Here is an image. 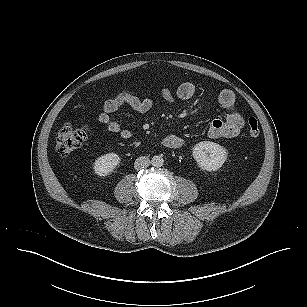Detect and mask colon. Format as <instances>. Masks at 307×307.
<instances>
[{"mask_svg": "<svg viewBox=\"0 0 307 307\" xmlns=\"http://www.w3.org/2000/svg\"><path fill=\"white\" fill-rule=\"evenodd\" d=\"M247 132L252 138H257L260 134L259 122L256 117L247 118ZM87 138L86 126H75L65 124L61 127L56 138V151L60 156H67L78 149Z\"/></svg>", "mask_w": 307, "mask_h": 307, "instance_id": "obj_1", "label": "colon"}]
</instances>
